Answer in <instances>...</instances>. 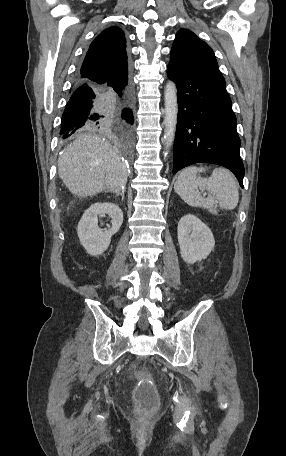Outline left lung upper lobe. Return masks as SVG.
Masks as SVG:
<instances>
[{"label": "left lung upper lobe", "instance_id": "left-lung-upper-lobe-1", "mask_svg": "<svg viewBox=\"0 0 286 456\" xmlns=\"http://www.w3.org/2000/svg\"><path fill=\"white\" fill-rule=\"evenodd\" d=\"M226 86L211 47L188 29H180L170 52V62Z\"/></svg>", "mask_w": 286, "mask_h": 456}]
</instances>
